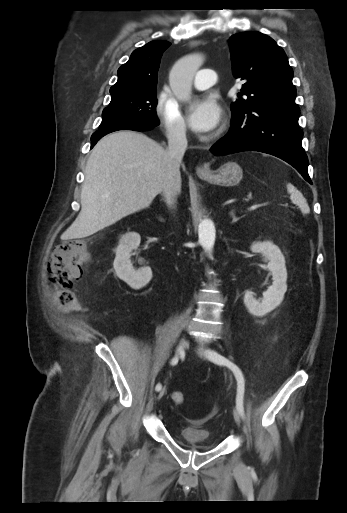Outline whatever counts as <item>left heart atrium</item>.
I'll list each match as a JSON object with an SVG mask.
<instances>
[{
  "instance_id": "1",
  "label": "left heart atrium",
  "mask_w": 347,
  "mask_h": 513,
  "mask_svg": "<svg viewBox=\"0 0 347 513\" xmlns=\"http://www.w3.org/2000/svg\"><path fill=\"white\" fill-rule=\"evenodd\" d=\"M222 111L216 98L203 96L193 102L188 109V123L197 133H211L220 124Z\"/></svg>"
}]
</instances>
